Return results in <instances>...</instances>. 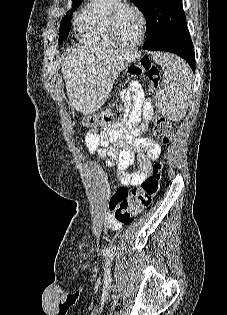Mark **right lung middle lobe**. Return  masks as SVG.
<instances>
[{
  "label": "right lung middle lobe",
  "instance_id": "obj_1",
  "mask_svg": "<svg viewBox=\"0 0 227 315\" xmlns=\"http://www.w3.org/2000/svg\"><path fill=\"white\" fill-rule=\"evenodd\" d=\"M83 0L80 1H73L72 10L67 13V15L62 19L61 26H60V36H59V43L61 44L64 38L68 35L71 26V12L74 11L79 5L82 3Z\"/></svg>",
  "mask_w": 227,
  "mask_h": 315
}]
</instances>
